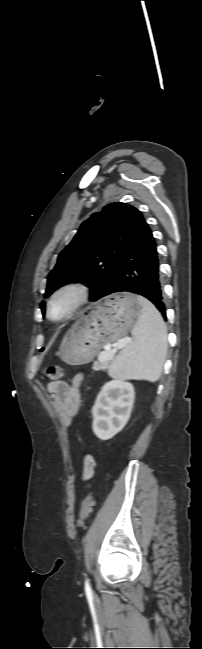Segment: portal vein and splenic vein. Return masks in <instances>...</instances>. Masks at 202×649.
Segmentation results:
<instances>
[{
    "instance_id": "1",
    "label": "portal vein and splenic vein",
    "mask_w": 202,
    "mask_h": 649,
    "mask_svg": "<svg viewBox=\"0 0 202 649\" xmlns=\"http://www.w3.org/2000/svg\"><path fill=\"white\" fill-rule=\"evenodd\" d=\"M131 341H132V340H131L130 338H124V339H121V340L118 341V344L116 345L115 348H116V349H120V348H122L125 344H127L128 342H131ZM108 350H112V349H111V348H108ZM113 357H114V354L106 353V352H102V353L99 355L98 360H99V361H104V360H108V361H110V360L113 359ZM93 369H94V370H97L98 368H97L96 366H94Z\"/></svg>"
}]
</instances>
